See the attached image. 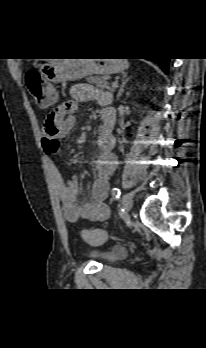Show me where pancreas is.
Masks as SVG:
<instances>
[{
	"instance_id": "1",
	"label": "pancreas",
	"mask_w": 206,
	"mask_h": 348,
	"mask_svg": "<svg viewBox=\"0 0 206 348\" xmlns=\"http://www.w3.org/2000/svg\"><path fill=\"white\" fill-rule=\"evenodd\" d=\"M87 82L89 84L95 85L97 88L101 90H109L111 92H114L115 88H111L108 83V77L107 76H91L87 78Z\"/></svg>"
}]
</instances>
